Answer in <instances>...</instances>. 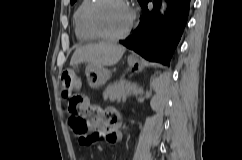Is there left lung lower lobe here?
Wrapping results in <instances>:
<instances>
[{"label": "left lung lower lobe", "mask_w": 242, "mask_h": 160, "mask_svg": "<svg viewBox=\"0 0 242 160\" xmlns=\"http://www.w3.org/2000/svg\"><path fill=\"white\" fill-rule=\"evenodd\" d=\"M149 1L140 4L143 16L139 25L120 43L149 61L169 65L187 22L191 0H167L164 16H159L161 1L153 0L152 10L148 9Z\"/></svg>", "instance_id": "left-lung-lower-lobe-1"}]
</instances>
